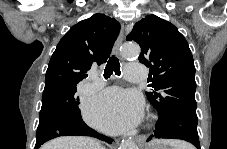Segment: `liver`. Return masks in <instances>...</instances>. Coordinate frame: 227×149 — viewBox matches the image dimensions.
Segmentation results:
<instances>
[{
  "instance_id": "6515ba94",
  "label": "liver",
  "mask_w": 227,
  "mask_h": 149,
  "mask_svg": "<svg viewBox=\"0 0 227 149\" xmlns=\"http://www.w3.org/2000/svg\"><path fill=\"white\" fill-rule=\"evenodd\" d=\"M41 149H104L98 141L89 137L64 136L53 139Z\"/></svg>"
}]
</instances>
